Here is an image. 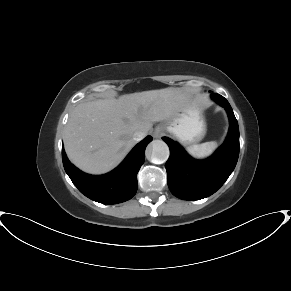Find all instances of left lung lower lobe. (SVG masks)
Here are the masks:
<instances>
[{
    "label": "left lung lower lobe",
    "instance_id": "left-lung-lower-lobe-1",
    "mask_svg": "<svg viewBox=\"0 0 291 291\" xmlns=\"http://www.w3.org/2000/svg\"><path fill=\"white\" fill-rule=\"evenodd\" d=\"M211 97L225 107L230 129L224 144L208 159L195 160L173 140L162 139L170 148L166 162L167 182L172 194L183 200H199L215 193L233 172L239 156V127L233 110L223 96Z\"/></svg>",
    "mask_w": 291,
    "mask_h": 291
}]
</instances>
